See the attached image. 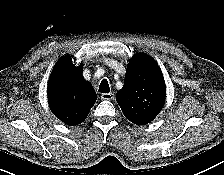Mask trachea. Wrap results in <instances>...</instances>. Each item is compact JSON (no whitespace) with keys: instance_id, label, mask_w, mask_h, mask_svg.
Segmentation results:
<instances>
[{"instance_id":"1","label":"trachea","mask_w":224,"mask_h":175,"mask_svg":"<svg viewBox=\"0 0 224 175\" xmlns=\"http://www.w3.org/2000/svg\"><path fill=\"white\" fill-rule=\"evenodd\" d=\"M99 92L101 93H109L110 92V87L108 84V81L106 79H103L100 83L99 86Z\"/></svg>"}]
</instances>
